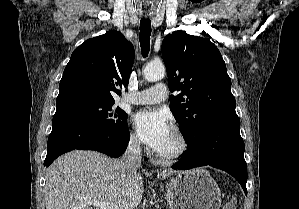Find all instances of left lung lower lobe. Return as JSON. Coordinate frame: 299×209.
<instances>
[{
    "mask_svg": "<svg viewBox=\"0 0 299 209\" xmlns=\"http://www.w3.org/2000/svg\"><path fill=\"white\" fill-rule=\"evenodd\" d=\"M237 115L222 117L206 126L203 132L188 141V150L173 169L187 170L210 165L232 175L247 195V164L244 142L240 135Z\"/></svg>",
    "mask_w": 299,
    "mask_h": 209,
    "instance_id": "obj_1",
    "label": "left lung lower lobe"
}]
</instances>
